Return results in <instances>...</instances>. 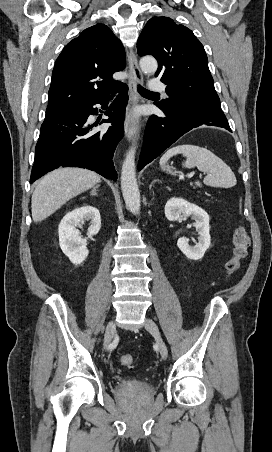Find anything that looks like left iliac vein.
Segmentation results:
<instances>
[{
    "mask_svg": "<svg viewBox=\"0 0 272 452\" xmlns=\"http://www.w3.org/2000/svg\"><path fill=\"white\" fill-rule=\"evenodd\" d=\"M144 327L155 337L156 343L159 348L160 355L164 360H166L168 357V349H167L165 342L163 341V339L161 337L158 326L152 319L147 318L145 320Z\"/></svg>",
    "mask_w": 272,
    "mask_h": 452,
    "instance_id": "1",
    "label": "left iliac vein"
}]
</instances>
